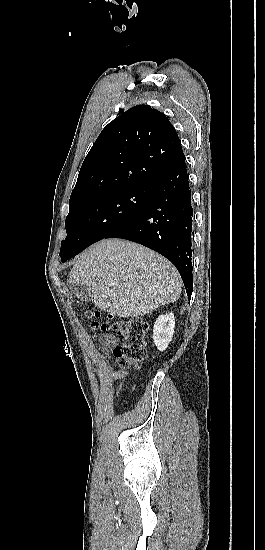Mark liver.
<instances>
[{
  "label": "liver",
  "mask_w": 265,
  "mask_h": 550,
  "mask_svg": "<svg viewBox=\"0 0 265 550\" xmlns=\"http://www.w3.org/2000/svg\"><path fill=\"white\" fill-rule=\"evenodd\" d=\"M72 284L86 285L95 307L119 317L151 313L175 302L182 291L174 265L140 244L122 239L95 243L70 271Z\"/></svg>",
  "instance_id": "liver-1"
}]
</instances>
